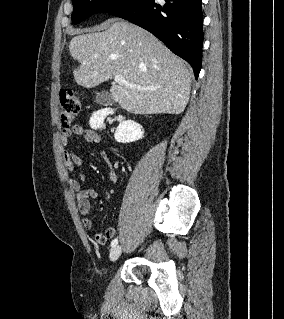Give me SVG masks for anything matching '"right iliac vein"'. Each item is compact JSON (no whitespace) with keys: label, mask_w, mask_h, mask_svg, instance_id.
<instances>
[{"label":"right iliac vein","mask_w":284,"mask_h":319,"mask_svg":"<svg viewBox=\"0 0 284 319\" xmlns=\"http://www.w3.org/2000/svg\"><path fill=\"white\" fill-rule=\"evenodd\" d=\"M122 253V248L121 246H115L111 251H110V254H109V259L110 261L112 262H115L116 260H118V258L120 257Z\"/></svg>","instance_id":"1"}]
</instances>
